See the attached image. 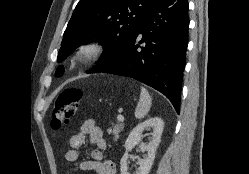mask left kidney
<instances>
[{
	"mask_svg": "<svg viewBox=\"0 0 249 174\" xmlns=\"http://www.w3.org/2000/svg\"><path fill=\"white\" fill-rule=\"evenodd\" d=\"M164 122L161 118L154 117L150 118L140 124H138L129 134L126 142L125 148L126 153L123 155L120 162V171L121 174H129L127 165L129 154L128 152L132 150L135 145L140 146L142 152H147V155L144 159L138 161L139 169L136 171V174H149L151 167L155 159V153L161 141V135L163 132ZM153 129L151 133L152 139L148 144L141 142L143 138V131L145 129Z\"/></svg>",
	"mask_w": 249,
	"mask_h": 174,
	"instance_id": "left-kidney-1",
	"label": "left kidney"
}]
</instances>
